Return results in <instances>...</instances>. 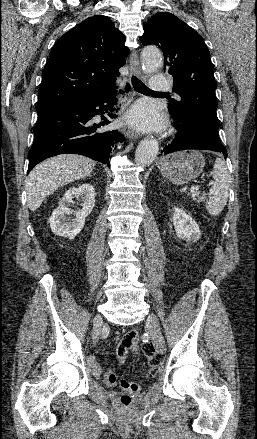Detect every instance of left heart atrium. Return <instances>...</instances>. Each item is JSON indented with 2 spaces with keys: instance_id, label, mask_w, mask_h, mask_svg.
Returning <instances> with one entry per match:
<instances>
[{
  "instance_id": "left-heart-atrium-1",
  "label": "left heart atrium",
  "mask_w": 257,
  "mask_h": 439,
  "mask_svg": "<svg viewBox=\"0 0 257 439\" xmlns=\"http://www.w3.org/2000/svg\"><path fill=\"white\" fill-rule=\"evenodd\" d=\"M127 120L132 126L140 130H159L165 124L159 110L147 102L135 105L129 111Z\"/></svg>"
}]
</instances>
